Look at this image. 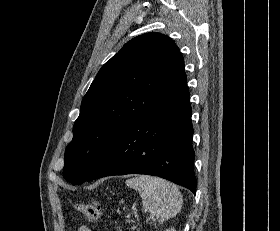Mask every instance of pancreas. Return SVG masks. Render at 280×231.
Listing matches in <instances>:
<instances>
[{"mask_svg":"<svg viewBox=\"0 0 280 231\" xmlns=\"http://www.w3.org/2000/svg\"><path fill=\"white\" fill-rule=\"evenodd\" d=\"M126 221H128V223H130V219H126ZM133 227H136V225H133ZM137 231H139V227H137Z\"/></svg>","mask_w":280,"mask_h":231,"instance_id":"obj_1","label":"pancreas"}]
</instances>
